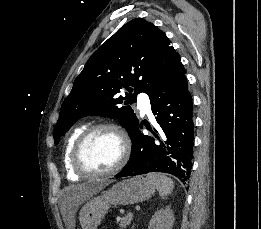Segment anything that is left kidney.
Returning <instances> with one entry per match:
<instances>
[{
    "instance_id": "left-kidney-1",
    "label": "left kidney",
    "mask_w": 261,
    "mask_h": 229,
    "mask_svg": "<svg viewBox=\"0 0 261 229\" xmlns=\"http://www.w3.org/2000/svg\"><path fill=\"white\" fill-rule=\"evenodd\" d=\"M175 217L171 207H166V209H159L153 215L148 229H172Z\"/></svg>"
}]
</instances>
